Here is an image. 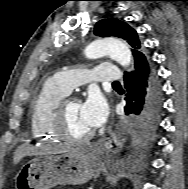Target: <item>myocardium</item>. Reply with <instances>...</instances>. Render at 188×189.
Segmentation results:
<instances>
[{"label": "myocardium", "mask_w": 188, "mask_h": 189, "mask_svg": "<svg viewBox=\"0 0 188 189\" xmlns=\"http://www.w3.org/2000/svg\"><path fill=\"white\" fill-rule=\"evenodd\" d=\"M73 101L80 102V100L77 97L71 95H66L61 99L52 115V128L54 132L57 134L58 138L62 139L67 143H85L91 140V138L94 135L93 131H90L82 136H73L68 132L66 127L67 108L68 105Z\"/></svg>", "instance_id": "1"}]
</instances>
